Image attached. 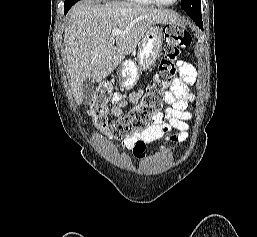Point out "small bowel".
I'll return each mask as SVG.
<instances>
[{
	"label": "small bowel",
	"instance_id": "1",
	"mask_svg": "<svg viewBox=\"0 0 257 237\" xmlns=\"http://www.w3.org/2000/svg\"><path fill=\"white\" fill-rule=\"evenodd\" d=\"M180 78L175 79L170 90L165 94L164 102L166 108L152 119V123L146 129L122 142V146L130 151L134 157L143 159L146 156V145L163 139L171 142H183L188 137L187 121L191 114L187 111L188 103L194 100L190 87L196 80L194 66L185 61L178 63ZM143 91L130 93L128 96L117 93L111 108V113L118 116L128 103H136L142 97ZM176 129L177 133L171 131Z\"/></svg>",
	"mask_w": 257,
	"mask_h": 237
}]
</instances>
